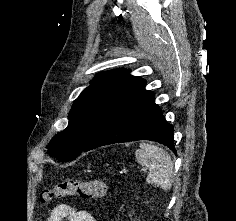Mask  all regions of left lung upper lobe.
<instances>
[{"mask_svg":"<svg viewBox=\"0 0 236 221\" xmlns=\"http://www.w3.org/2000/svg\"><path fill=\"white\" fill-rule=\"evenodd\" d=\"M145 82L126 70L98 73L75 100L67 128L47 145L49 155L62 162L75 159L110 113Z\"/></svg>","mask_w":236,"mask_h":221,"instance_id":"left-lung-upper-lobe-1","label":"left lung upper lobe"}]
</instances>
